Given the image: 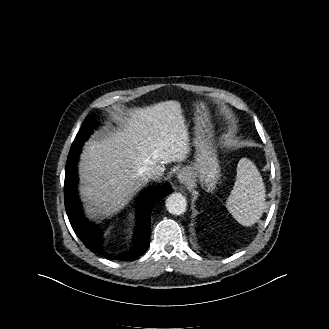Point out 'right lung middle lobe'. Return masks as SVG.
<instances>
[{
    "mask_svg": "<svg viewBox=\"0 0 329 329\" xmlns=\"http://www.w3.org/2000/svg\"><path fill=\"white\" fill-rule=\"evenodd\" d=\"M94 124L95 121L93 120V118H91L90 115H88L84 120L81 129L77 133L75 140L72 143L68 158L72 157V155L82 147L84 141L92 133V128L94 127Z\"/></svg>",
    "mask_w": 329,
    "mask_h": 329,
    "instance_id": "right-lung-middle-lobe-1",
    "label": "right lung middle lobe"
}]
</instances>
